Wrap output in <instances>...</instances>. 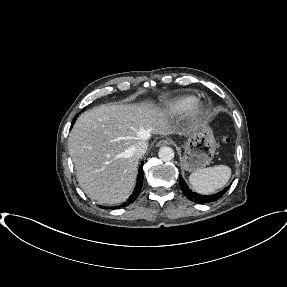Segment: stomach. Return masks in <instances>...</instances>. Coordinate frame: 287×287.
I'll use <instances>...</instances> for the list:
<instances>
[{"mask_svg": "<svg viewBox=\"0 0 287 287\" xmlns=\"http://www.w3.org/2000/svg\"><path fill=\"white\" fill-rule=\"evenodd\" d=\"M183 166L187 171H198L207 166L215 155L216 141L210 127L198 126L183 143Z\"/></svg>", "mask_w": 287, "mask_h": 287, "instance_id": "stomach-1", "label": "stomach"}]
</instances>
